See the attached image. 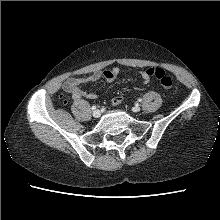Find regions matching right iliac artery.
I'll return each instance as SVG.
<instances>
[{"instance_id":"1","label":"right iliac artery","mask_w":220,"mask_h":220,"mask_svg":"<svg viewBox=\"0 0 220 220\" xmlns=\"http://www.w3.org/2000/svg\"><path fill=\"white\" fill-rule=\"evenodd\" d=\"M96 109V106H92V110H95Z\"/></svg>"}]
</instances>
